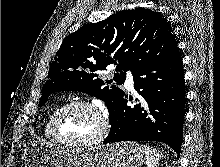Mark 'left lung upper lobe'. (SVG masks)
Here are the masks:
<instances>
[{
  "instance_id": "obj_1",
  "label": "left lung upper lobe",
  "mask_w": 220,
  "mask_h": 167,
  "mask_svg": "<svg viewBox=\"0 0 220 167\" xmlns=\"http://www.w3.org/2000/svg\"><path fill=\"white\" fill-rule=\"evenodd\" d=\"M175 37L158 12L145 8L123 10L81 27L68 35L57 51L39 106L52 93L76 90L103 100L110 114L124 95L116 84L125 81L126 71L134 74L166 56L177 47ZM112 63L118 71L114 81L101 79V71Z\"/></svg>"
}]
</instances>
